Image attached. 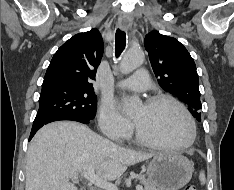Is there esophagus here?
I'll return each mask as SVG.
<instances>
[{
    "mask_svg": "<svg viewBox=\"0 0 234 190\" xmlns=\"http://www.w3.org/2000/svg\"><path fill=\"white\" fill-rule=\"evenodd\" d=\"M120 26L122 28H128L129 27V22L127 19L123 18V20L120 22Z\"/></svg>",
    "mask_w": 234,
    "mask_h": 190,
    "instance_id": "obj_1",
    "label": "esophagus"
}]
</instances>
